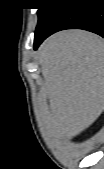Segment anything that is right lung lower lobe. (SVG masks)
I'll use <instances>...</instances> for the list:
<instances>
[{"label": "right lung lower lobe", "instance_id": "1", "mask_svg": "<svg viewBox=\"0 0 104 169\" xmlns=\"http://www.w3.org/2000/svg\"><path fill=\"white\" fill-rule=\"evenodd\" d=\"M72 28L104 37V0H63L46 24L35 32L34 49L49 35Z\"/></svg>", "mask_w": 104, "mask_h": 169}]
</instances>
